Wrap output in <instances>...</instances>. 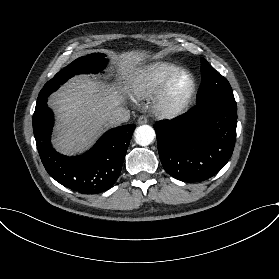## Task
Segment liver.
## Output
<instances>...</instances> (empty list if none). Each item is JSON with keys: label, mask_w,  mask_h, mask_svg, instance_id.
Returning <instances> with one entry per match:
<instances>
[{"label": "liver", "mask_w": 279, "mask_h": 279, "mask_svg": "<svg viewBox=\"0 0 279 279\" xmlns=\"http://www.w3.org/2000/svg\"><path fill=\"white\" fill-rule=\"evenodd\" d=\"M145 51L132 50L113 57L123 85L109 86L96 77L79 75L54 92L48 105L56 113L53 147L64 155H75L90 148L109 127L111 112L125 101L135 84L137 65L146 58Z\"/></svg>", "instance_id": "6515ba94"}]
</instances>
